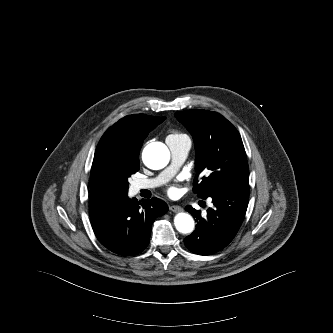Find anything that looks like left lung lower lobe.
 Returning <instances> with one entry per match:
<instances>
[{
	"label": "left lung lower lobe",
	"mask_w": 333,
	"mask_h": 333,
	"mask_svg": "<svg viewBox=\"0 0 333 333\" xmlns=\"http://www.w3.org/2000/svg\"><path fill=\"white\" fill-rule=\"evenodd\" d=\"M208 197L212 198L214 207L207 209L205 218L191 206L185 208L196 218L197 225L184 243L189 250L200 255L214 254L233 240L247 210L249 186L221 189Z\"/></svg>",
	"instance_id": "left-lung-lower-lobe-1"
}]
</instances>
